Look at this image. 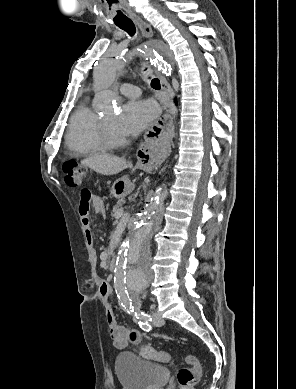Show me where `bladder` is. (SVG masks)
Masks as SVG:
<instances>
[{
	"label": "bladder",
	"instance_id": "bladder-1",
	"mask_svg": "<svg viewBox=\"0 0 296 389\" xmlns=\"http://www.w3.org/2000/svg\"><path fill=\"white\" fill-rule=\"evenodd\" d=\"M115 370L122 389H160L170 377L166 367L144 361L132 352L118 354Z\"/></svg>",
	"mask_w": 296,
	"mask_h": 389
}]
</instances>
